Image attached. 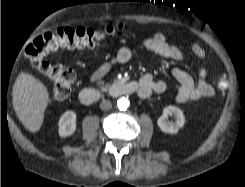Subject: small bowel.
Returning a JSON list of instances; mask_svg holds the SVG:
<instances>
[{
    "mask_svg": "<svg viewBox=\"0 0 245 187\" xmlns=\"http://www.w3.org/2000/svg\"><path fill=\"white\" fill-rule=\"evenodd\" d=\"M142 46L158 54L159 56L183 61L185 56L183 52L166 36L160 33L151 34L143 39ZM190 48L194 55L200 60H205L206 53L202 46L197 42H191ZM132 58V50L127 47H121L109 61L102 64L91 76V82H100L116 64H126ZM171 76L179 83L180 87L175 96V101L179 104H188L214 95V89L207 81V73L203 66L198 67L197 79H194L186 71L174 67L171 69ZM139 96L146 98L153 92L160 93L166 90L167 84L164 80L155 79L151 74H145L139 79Z\"/></svg>",
    "mask_w": 245,
    "mask_h": 187,
    "instance_id": "obj_1",
    "label": "small bowel"
}]
</instances>
